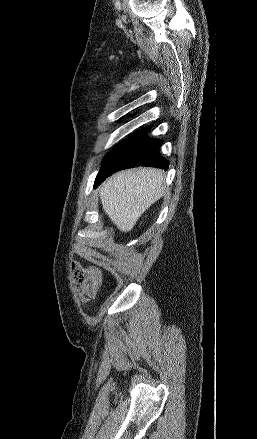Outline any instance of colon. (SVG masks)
Segmentation results:
<instances>
[{"mask_svg":"<svg viewBox=\"0 0 257 439\" xmlns=\"http://www.w3.org/2000/svg\"><path fill=\"white\" fill-rule=\"evenodd\" d=\"M73 278L76 287L85 297H95L103 283L102 274L94 268H77L73 271Z\"/></svg>","mask_w":257,"mask_h":439,"instance_id":"5ec220e1","label":"colon"}]
</instances>
